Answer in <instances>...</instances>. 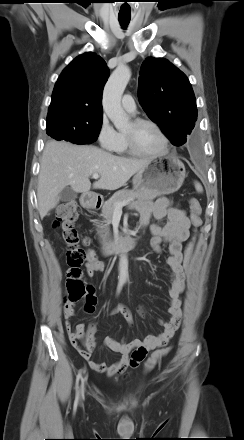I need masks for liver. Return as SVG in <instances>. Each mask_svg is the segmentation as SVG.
I'll list each match as a JSON object with an SVG mask.
<instances>
[{"mask_svg": "<svg viewBox=\"0 0 244 440\" xmlns=\"http://www.w3.org/2000/svg\"><path fill=\"white\" fill-rule=\"evenodd\" d=\"M150 159H131L112 155L96 146L75 145L64 141H50L45 145L38 176V210L41 218L53 209L61 191L70 186L75 192L86 194L91 189L89 177L99 174L94 189L116 190Z\"/></svg>", "mask_w": 244, "mask_h": 440, "instance_id": "obj_1", "label": "liver"}]
</instances>
